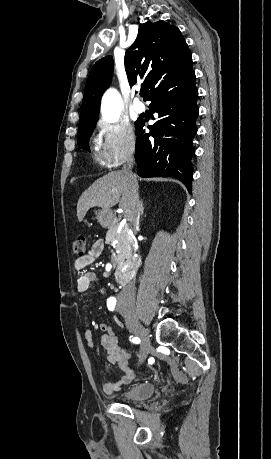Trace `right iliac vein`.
Returning <instances> with one entry per match:
<instances>
[{
	"label": "right iliac vein",
	"instance_id": "obj_1",
	"mask_svg": "<svg viewBox=\"0 0 271 459\" xmlns=\"http://www.w3.org/2000/svg\"><path fill=\"white\" fill-rule=\"evenodd\" d=\"M120 312L125 318L126 324L131 332L142 339L141 356L139 364H142L151 351L150 340L146 337L143 326L140 324L132 309L120 307Z\"/></svg>",
	"mask_w": 271,
	"mask_h": 459
}]
</instances>
